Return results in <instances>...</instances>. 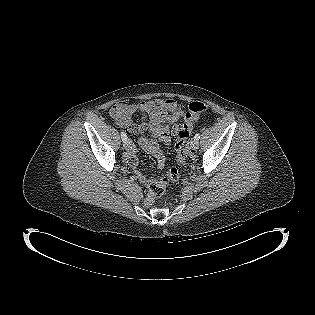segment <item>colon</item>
Returning <instances> with one entry per match:
<instances>
[{
  "mask_svg": "<svg viewBox=\"0 0 315 315\" xmlns=\"http://www.w3.org/2000/svg\"><path fill=\"white\" fill-rule=\"evenodd\" d=\"M207 110L205 103L194 101L189 104L188 112L185 114L183 124L176 131L175 151L179 165L184 166L187 158L186 143L193 130L194 122ZM180 179V172L176 168H171L165 175L149 184V198H159L165 192L166 186L170 181Z\"/></svg>",
  "mask_w": 315,
  "mask_h": 315,
  "instance_id": "5ec220e1",
  "label": "colon"
}]
</instances>
